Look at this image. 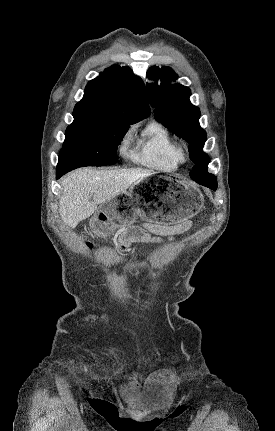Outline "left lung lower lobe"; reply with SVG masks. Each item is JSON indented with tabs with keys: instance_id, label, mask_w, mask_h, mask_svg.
I'll use <instances>...</instances> for the list:
<instances>
[{
	"instance_id": "0a47b994",
	"label": "left lung lower lobe",
	"mask_w": 275,
	"mask_h": 431,
	"mask_svg": "<svg viewBox=\"0 0 275 431\" xmlns=\"http://www.w3.org/2000/svg\"><path fill=\"white\" fill-rule=\"evenodd\" d=\"M190 176H191L192 180L199 183L200 185L206 186L212 190L217 189V182L215 181V177L212 174H209V173H203V174L190 173Z\"/></svg>"
}]
</instances>
